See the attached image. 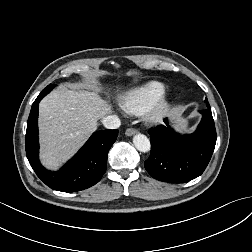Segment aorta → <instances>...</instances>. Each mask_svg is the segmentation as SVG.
Wrapping results in <instances>:
<instances>
[{
    "instance_id": "1",
    "label": "aorta",
    "mask_w": 252,
    "mask_h": 252,
    "mask_svg": "<svg viewBox=\"0 0 252 252\" xmlns=\"http://www.w3.org/2000/svg\"><path fill=\"white\" fill-rule=\"evenodd\" d=\"M133 144L140 152H148L151 148L150 140L143 134H136L133 137Z\"/></svg>"
}]
</instances>
